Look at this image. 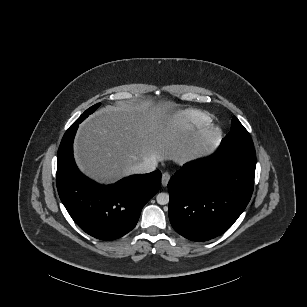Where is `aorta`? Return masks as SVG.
<instances>
[{"label":"aorta","mask_w":307,"mask_h":307,"mask_svg":"<svg viewBox=\"0 0 307 307\" xmlns=\"http://www.w3.org/2000/svg\"><path fill=\"white\" fill-rule=\"evenodd\" d=\"M157 203L160 205H166L169 202V195L167 193H159L156 196Z\"/></svg>","instance_id":"762f6f07"}]
</instances>
